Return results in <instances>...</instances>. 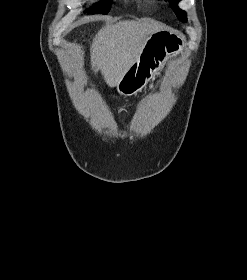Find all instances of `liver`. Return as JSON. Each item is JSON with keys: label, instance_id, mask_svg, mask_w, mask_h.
Masks as SVG:
<instances>
[{"label": "liver", "instance_id": "liver-1", "mask_svg": "<svg viewBox=\"0 0 247 280\" xmlns=\"http://www.w3.org/2000/svg\"><path fill=\"white\" fill-rule=\"evenodd\" d=\"M159 25L143 21L108 24L94 37L91 47L92 69H99L109 87H116L139 57L146 39Z\"/></svg>", "mask_w": 247, "mask_h": 280}]
</instances>
